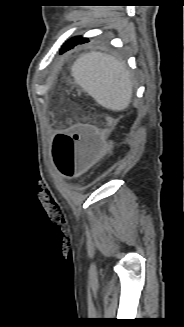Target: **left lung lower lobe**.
Masks as SVG:
<instances>
[{
    "mask_svg": "<svg viewBox=\"0 0 184 327\" xmlns=\"http://www.w3.org/2000/svg\"><path fill=\"white\" fill-rule=\"evenodd\" d=\"M88 41H89L88 38H83L81 36L74 37V38L70 39L69 41H67L63 45V47L60 50V54L66 52L67 50L72 49L77 44H84V43H87Z\"/></svg>",
    "mask_w": 184,
    "mask_h": 327,
    "instance_id": "left-lung-lower-lobe-1",
    "label": "left lung lower lobe"
}]
</instances>
